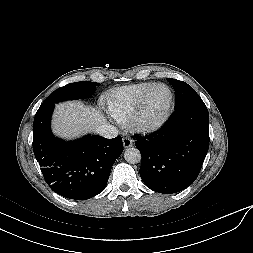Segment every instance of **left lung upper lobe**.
<instances>
[{
    "mask_svg": "<svg viewBox=\"0 0 253 253\" xmlns=\"http://www.w3.org/2000/svg\"><path fill=\"white\" fill-rule=\"evenodd\" d=\"M173 86L176 93L175 108H179L193 101L201 100L196 91L183 81L176 79H167Z\"/></svg>",
    "mask_w": 253,
    "mask_h": 253,
    "instance_id": "1",
    "label": "left lung upper lobe"
}]
</instances>
